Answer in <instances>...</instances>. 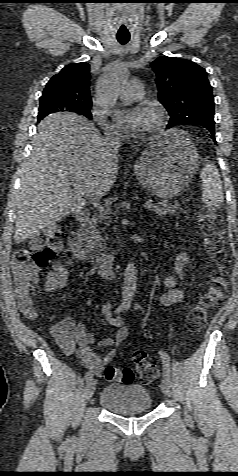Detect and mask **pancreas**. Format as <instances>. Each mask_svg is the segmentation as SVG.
<instances>
[{
	"label": "pancreas",
	"instance_id": "cf45deb5",
	"mask_svg": "<svg viewBox=\"0 0 238 476\" xmlns=\"http://www.w3.org/2000/svg\"><path fill=\"white\" fill-rule=\"evenodd\" d=\"M152 210L159 215H173L175 213L185 212L179 205L178 202L171 203L167 200H162L157 203ZM108 219L105 213L100 215H95L92 217L88 223L85 231V242L93 251H103L102 242L106 240V236L103 237L104 229L99 230L98 226L105 223Z\"/></svg>",
	"mask_w": 238,
	"mask_h": 476
}]
</instances>
